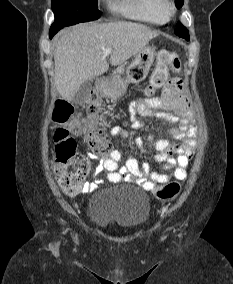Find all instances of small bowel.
<instances>
[{"mask_svg": "<svg viewBox=\"0 0 233 284\" xmlns=\"http://www.w3.org/2000/svg\"><path fill=\"white\" fill-rule=\"evenodd\" d=\"M131 125L133 128H141L143 123L137 119V115L164 119L173 127L169 134L178 140L180 144H171L167 139H150L153 149L156 151V159L165 162V169H173L171 172L152 171L148 163L139 164L135 157L126 160L122 167L119 162L122 155L117 150L110 151L99 158V169L106 173V179L116 184L121 181L137 183L145 190L151 191L155 187L168 184L173 180L186 178V168L195 154L196 127L192 123L190 112V100L186 94L185 84L182 79L174 78L168 82L159 98H141L129 106ZM112 136L128 137V131L119 127L110 128ZM135 143L142 149L143 141L137 137ZM89 159H98L94 153H89ZM88 161V160H87ZM89 162V161H88ZM149 176L150 179L146 177ZM97 181L88 182L80 189L82 193H89L98 187Z\"/></svg>", "mask_w": 233, "mask_h": 284, "instance_id": "1", "label": "small bowel"}]
</instances>
